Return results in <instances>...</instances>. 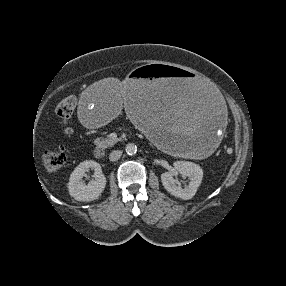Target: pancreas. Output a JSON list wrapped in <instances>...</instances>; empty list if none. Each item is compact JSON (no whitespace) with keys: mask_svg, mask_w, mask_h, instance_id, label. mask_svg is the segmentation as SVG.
<instances>
[{"mask_svg":"<svg viewBox=\"0 0 286 286\" xmlns=\"http://www.w3.org/2000/svg\"><path fill=\"white\" fill-rule=\"evenodd\" d=\"M118 141H119L118 138H115V139H112V138L100 139V138H98L94 141V143L98 148L104 149V148L112 146L113 144H115Z\"/></svg>","mask_w":286,"mask_h":286,"instance_id":"cf45deb5","label":"pancreas"}]
</instances>
